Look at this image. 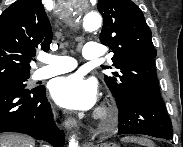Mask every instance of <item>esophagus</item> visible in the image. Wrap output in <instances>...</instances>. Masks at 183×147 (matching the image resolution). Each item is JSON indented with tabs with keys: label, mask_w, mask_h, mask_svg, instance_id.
Returning <instances> with one entry per match:
<instances>
[{
	"label": "esophagus",
	"mask_w": 183,
	"mask_h": 147,
	"mask_svg": "<svg viewBox=\"0 0 183 147\" xmlns=\"http://www.w3.org/2000/svg\"><path fill=\"white\" fill-rule=\"evenodd\" d=\"M65 127L70 131V132H78V125L77 121L74 118H67L64 122Z\"/></svg>",
	"instance_id": "34e87169"
}]
</instances>
